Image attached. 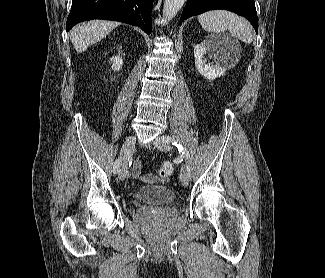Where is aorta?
<instances>
[{
	"label": "aorta",
	"instance_id": "aorta-1",
	"mask_svg": "<svg viewBox=\"0 0 325 278\" xmlns=\"http://www.w3.org/2000/svg\"><path fill=\"white\" fill-rule=\"evenodd\" d=\"M186 0H165L163 7V15L166 18L174 17L183 7Z\"/></svg>",
	"mask_w": 325,
	"mask_h": 278
}]
</instances>
